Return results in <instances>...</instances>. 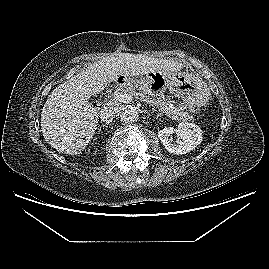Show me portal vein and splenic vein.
Segmentation results:
<instances>
[{
	"label": "portal vein and splenic vein",
	"mask_w": 269,
	"mask_h": 269,
	"mask_svg": "<svg viewBox=\"0 0 269 269\" xmlns=\"http://www.w3.org/2000/svg\"><path fill=\"white\" fill-rule=\"evenodd\" d=\"M114 98H115V100L120 101V102H123V103H130L133 100V96L132 95H129L127 93H124V94H116L114 96ZM145 102L152 103L149 100H146Z\"/></svg>",
	"instance_id": "1"
}]
</instances>
